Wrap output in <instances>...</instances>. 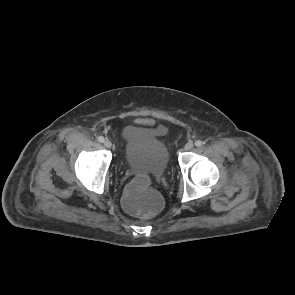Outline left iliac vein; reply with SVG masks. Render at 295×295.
<instances>
[{"instance_id":"obj_1","label":"left iliac vein","mask_w":295,"mask_h":295,"mask_svg":"<svg viewBox=\"0 0 295 295\" xmlns=\"http://www.w3.org/2000/svg\"><path fill=\"white\" fill-rule=\"evenodd\" d=\"M194 147L193 142L189 141L185 144V149L186 150H191Z\"/></svg>"}]
</instances>
